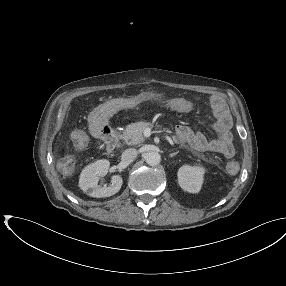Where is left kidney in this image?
<instances>
[{"label":"left kidney","instance_id":"5707ae66","mask_svg":"<svg viewBox=\"0 0 286 286\" xmlns=\"http://www.w3.org/2000/svg\"><path fill=\"white\" fill-rule=\"evenodd\" d=\"M204 168L184 165L178 170L180 187L190 193H198L203 183Z\"/></svg>","mask_w":286,"mask_h":286}]
</instances>
